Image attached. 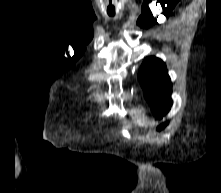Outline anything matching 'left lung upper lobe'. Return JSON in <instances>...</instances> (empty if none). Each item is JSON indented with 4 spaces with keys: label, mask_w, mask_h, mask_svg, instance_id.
<instances>
[{
    "label": "left lung upper lobe",
    "mask_w": 221,
    "mask_h": 193,
    "mask_svg": "<svg viewBox=\"0 0 221 193\" xmlns=\"http://www.w3.org/2000/svg\"><path fill=\"white\" fill-rule=\"evenodd\" d=\"M139 80L145 97L156 118L164 116L171 108V81L165 64L156 57H148L139 70ZM162 124L158 129H162Z\"/></svg>",
    "instance_id": "left-lung-upper-lobe-1"
}]
</instances>
